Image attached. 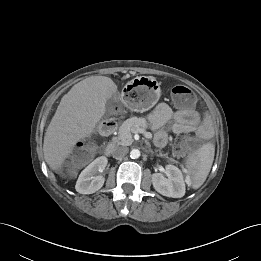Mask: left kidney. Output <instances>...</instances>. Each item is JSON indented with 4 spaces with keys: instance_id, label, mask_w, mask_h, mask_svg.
Returning a JSON list of instances; mask_svg holds the SVG:
<instances>
[{
    "instance_id": "5707ae66",
    "label": "left kidney",
    "mask_w": 261,
    "mask_h": 261,
    "mask_svg": "<svg viewBox=\"0 0 261 261\" xmlns=\"http://www.w3.org/2000/svg\"><path fill=\"white\" fill-rule=\"evenodd\" d=\"M165 174L167 178L161 173L152 175L154 189L163 196L172 198L183 197L185 195V182L181 170L169 164L165 167Z\"/></svg>"
}]
</instances>
